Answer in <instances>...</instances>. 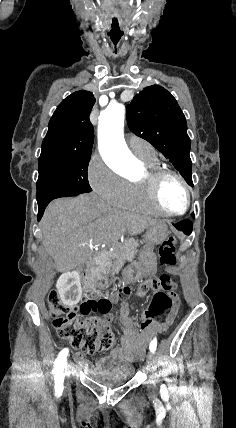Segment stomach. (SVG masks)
<instances>
[{
    "label": "stomach",
    "instance_id": "1",
    "mask_svg": "<svg viewBox=\"0 0 236 428\" xmlns=\"http://www.w3.org/2000/svg\"><path fill=\"white\" fill-rule=\"evenodd\" d=\"M169 230L163 222H157L154 226H149L144 234L145 248L139 254V260L122 265V272L119 275V282L126 283L129 287L136 283L151 281L158 269V258L153 250L154 246L162 244L166 240Z\"/></svg>",
    "mask_w": 236,
    "mask_h": 428
}]
</instances>
